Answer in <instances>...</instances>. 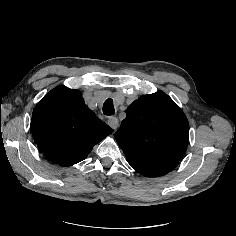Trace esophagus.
I'll list each match as a JSON object with an SVG mask.
<instances>
[{
	"mask_svg": "<svg viewBox=\"0 0 236 236\" xmlns=\"http://www.w3.org/2000/svg\"><path fill=\"white\" fill-rule=\"evenodd\" d=\"M118 124H119V121L116 117H110L108 119V125L112 128V129H117L118 127Z\"/></svg>",
	"mask_w": 236,
	"mask_h": 236,
	"instance_id": "esophagus-1",
	"label": "esophagus"
}]
</instances>
